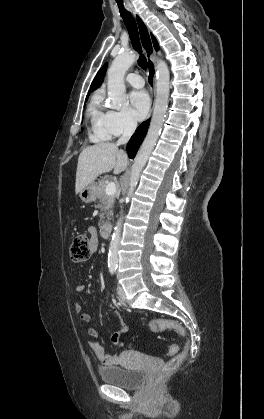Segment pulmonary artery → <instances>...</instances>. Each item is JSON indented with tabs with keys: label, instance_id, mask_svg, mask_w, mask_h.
Here are the masks:
<instances>
[{
	"label": "pulmonary artery",
	"instance_id": "1",
	"mask_svg": "<svg viewBox=\"0 0 264 419\" xmlns=\"http://www.w3.org/2000/svg\"><path fill=\"white\" fill-rule=\"evenodd\" d=\"M126 81L135 88H142L144 86V80L139 74H128L126 76Z\"/></svg>",
	"mask_w": 264,
	"mask_h": 419
}]
</instances>
